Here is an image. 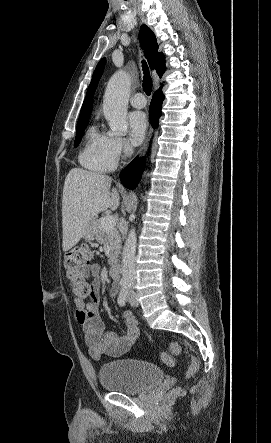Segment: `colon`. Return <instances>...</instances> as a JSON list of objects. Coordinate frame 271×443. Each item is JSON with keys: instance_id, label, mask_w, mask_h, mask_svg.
Returning a JSON list of instances; mask_svg holds the SVG:
<instances>
[{"instance_id": "5ec220e1", "label": "colon", "mask_w": 271, "mask_h": 443, "mask_svg": "<svg viewBox=\"0 0 271 443\" xmlns=\"http://www.w3.org/2000/svg\"><path fill=\"white\" fill-rule=\"evenodd\" d=\"M92 258L93 252L87 245L75 247L65 252L62 257L63 268L70 283L71 292L76 298L83 300L88 306H90L93 290L82 271L85 267L90 265ZM169 350L170 352H163L161 354V359L164 364L173 366L175 363V357L182 354V347L180 344L173 342L170 344ZM198 369V360L191 356L187 376L194 375Z\"/></svg>"}]
</instances>
